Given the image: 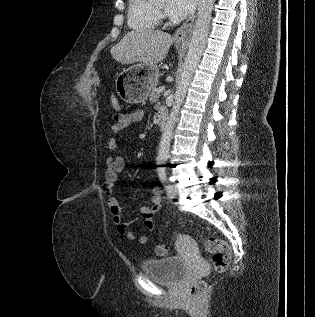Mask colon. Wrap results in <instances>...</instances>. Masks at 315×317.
I'll return each mask as SVG.
<instances>
[{
    "label": "colon",
    "instance_id": "1",
    "mask_svg": "<svg viewBox=\"0 0 315 317\" xmlns=\"http://www.w3.org/2000/svg\"><path fill=\"white\" fill-rule=\"evenodd\" d=\"M112 102L114 108L119 109L120 105L118 100L114 98ZM206 249L212 254V261L215 271L224 272L228 268L231 260V249L229 245L219 238L211 237L206 242ZM169 252L170 247L166 244H161L156 248V253L160 256L168 255ZM205 287L206 284L204 281L193 283L188 290L189 298H198L204 291Z\"/></svg>",
    "mask_w": 315,
    "mask_h": 317
}]
</instances>
